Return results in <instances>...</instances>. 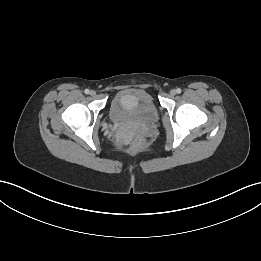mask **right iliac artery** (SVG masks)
<instances>
[{
  "mask_svg": "<svg viewBox=\"0 0 261 261\" xmlns=\"http://www.w3.org/2000/svg\"><path fill=\"white\" fill-rule=\"evenodd\" d=\"M85 94H89L90 93V91H89V89H85Z\"/></svg>",
  "mask_w": 261,
  "mask_h": 261,
  "instance_id": "1",
  "label": "right iliac artery"
}]
</instances>
